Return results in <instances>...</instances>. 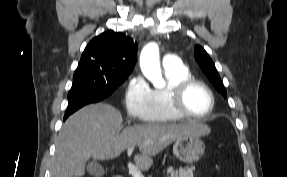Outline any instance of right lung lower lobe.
<instances>
[{
    "mask_svg": "<svg viewBox=\"0 0 287 177\" xmlns=\"http://www.w3.org/2000/svg\"><path fill=\"white\" fill-rule=\"evenodd\" d=\"M106 98L104 95L97 94V93H83L79 95H75L72 97H69V104L67 112L64 116V120L74 113L76 110L80 109L84 105L90 104V103H96Z\"/></svg>",
    "mask_w": 287,
    "mask_h": 177,
    "instance_id": "right-lung-lower-lobe-1",
    "label": "right lung lower lobe"
}]
</instances>
